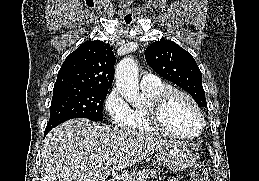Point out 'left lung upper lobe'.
I'll list each match as a JSON object with an SVG mask.
<instances>
[{
    "label": "left lung upper lobe",
    "instance_id": "left-lung-upper-lobe-1",
    "mask_svg": "<svg viewBox=\"0 0 259 181\" xmlns=\"http://www.w3.org/2000/svg\"><path fill=\"white\" fill-rule=\"evenodd\" d=\"M145 59L161 77L187 91L199 106H207L201 71L191 54L176 43L163 40L147 47Z\"/></svg>",
    "mask_w": 259,
    "mask_h": 181
}]
</instances>
